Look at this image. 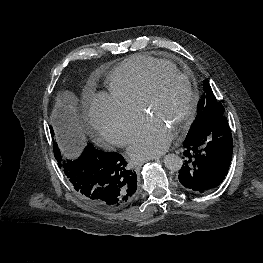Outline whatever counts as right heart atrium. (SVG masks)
<instances>
[{
	"instance_id": "1",
	"label": "right heart atrium",
	"mask_w": 263,
	"mask_h": 263,
	"mask_svg": "<svg viewBox=\"0 0 263 263\" xmlns=\"http://www.w3.org/2000/svg\"><path fill=\"white\" fill-rule=\"evenodd\" d=\"M141 117L139 108L108 93H99L89 104V118L96 136L117 146L130 141Z\"/></svg>"
}]
</instances>
